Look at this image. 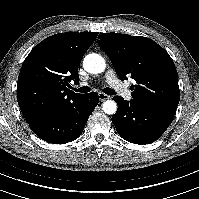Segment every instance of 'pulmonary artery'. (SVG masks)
<instances>
[{
    "label": "pulmonary artery",
    "mask_w": 199,
    "mask_h": 199,
    "mask_svg": "<svg viewBox=\"0 0 199 199\" xmlns=\"http://www.w3.org/2000/svg\"><path fill=\"white\" fill-rule=\"evenodd\" d=\"M103 79L122 97L130 100L132 98L131 91L127 88V85L121 82L113 69H109L103 76ZM83 83L82 86H85Z\"/></svg>",
    "instance_id": "e3ab8cb5"
}]
</instances>
